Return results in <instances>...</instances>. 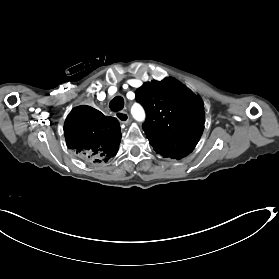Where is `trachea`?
<instances>
[{"instance_id": "trachea-1", "label": "trachea", "mask_w": 279, "mask_h": 279, "mask_svg": "<svg viewBox=\"0 0 279 279\" xmlns=\"http://www.w3.org/2000/svg\"><path fill=\"white\" fill-rule=\"evenodd\" d=\"M123 107H124V99L120 96H116L109 103V108L113 112H118V111L122 110Z\"/></svg>"}]
</instances>
